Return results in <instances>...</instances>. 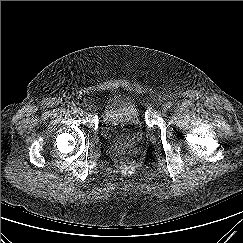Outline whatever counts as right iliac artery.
<instances>
[{
  "label": "right iliac artery",
  "instance_id": "right-iliac-artery-1",
  "mask_svg": "<svg viewBox=\"0 0 243 243\" xmlns=\"http://www.w3.org/2000/svg\"><path fill=\"white\" fill-rule=\"evenodd\" d=\"M72 113H76L77 109L75 107L71 108Z\"/></svg>",
  "mask_w": 243,
  "mask_h": 243
}]
</instances>
